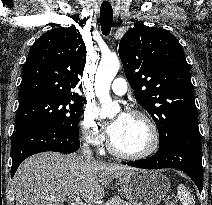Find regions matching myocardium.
<instances>
[{"mask_svg": "<svg viewBox=\"0 0 212 205\" xmlns=\"http://www.w3.org/2000/svg\"><path fill=\"white\" fill-rule=\"evenodd\" d=\"M128 116L141 119L146 124L149 132V142L147 146L139 152L127 153L118 150L114 146L112 139L110 137L107 142L108 151L116 157L127 160H141L152 156L157 151L160 144L159 131L155 122L148 114L142 111H131L129 112Z\"/></svg>", "mask_w": 212, "mask_h": 205, "instance_id": "obj_1", "label": "myocardium"}]
</instances>
